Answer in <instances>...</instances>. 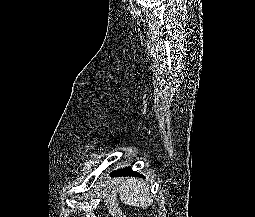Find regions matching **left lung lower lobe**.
Here are the masks:
<instances>
[{"instance_id":"left-lung-lower-lobe-1","label":"left lung lower lobe","mask_w":255,"mask_h":217,"mask_svg":"<svg viewBox=\"0 0 255 217\" xmlns=\"http://www.w3.org/2000/svg\"><path fill=\"white\" fill-rule=\"evenodd\" d=\"M114 176H140L143 177L142 175L132 171L131 168H123V169H119L117 171H115Z\"/></svg>"}]
</instances>
